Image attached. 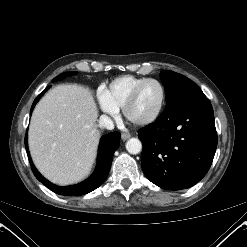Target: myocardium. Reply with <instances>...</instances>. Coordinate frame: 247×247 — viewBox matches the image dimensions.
Wrapping results in <instances>:
<instances>
[{"mask_svg": "<svg viewBox=\"0 0 247 247\" xmlns=\"http://www.w3.org/2000/svg\"><path fill=\"white\" fill-rule=\"evenodd\" d=\"M148 83H156L161 89V101H160L159 107L156 110V112L152 116H150L149 118L141 120V121H132L129 118V114H128L129 109L132 106V104L134 103V101L136 100L142 87ZM166 100H167V91H166L164 84L158 79L146 78L145 80L141 81L140 83H138L133 88V90L131 91V93L127 97V99H126V101L122 107V112H123V115L125 116L126 119H128L129 121L133 122L136 125H140V126L149 125V124L154 123L161 116V114L165 108Z\"/></svg>", "mask_w": 247, "mask_h": 247, "instance_id": "1", "label": "myocardium"}]
</instances>
